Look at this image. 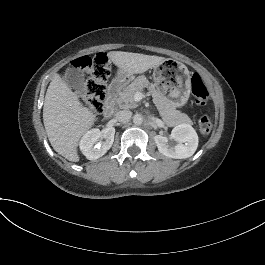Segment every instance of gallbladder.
Listing matches in <instances>:
<instances>
[{"instance_id": "gallbladder-1", "label": "gallbladder", "mask_w": 265, "mask_h": 265, "mask_svg": "<svg viewBox=\"0 0 265 265\" xmlns=\"http://www.w3.org/2000/svg\"><path fill=\"white\" fill-rule=\"evenodd\" d=\"M64 78L76 90L83 93L87 91L84 84V73L81 70L69 67L65 71Z\"/></svg>"}]
</instances>
